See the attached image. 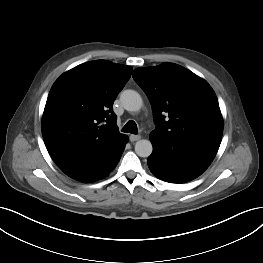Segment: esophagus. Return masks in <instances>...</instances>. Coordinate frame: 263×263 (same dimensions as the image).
<instances>
[{"mask_svg": "<svg viewBox=\"0 0 263 263\" xmlns=\"http://www.w3.org/2000/svg\"><path fill=\"white\" fill-rule=\"evenodd\" d=\"M141 139L140 135H130V141L135 142Z\"/></svg>", "mask_w": 263, "mask_h": 263, "instance_id": "34e87169", "label": "esophagus"}]
</instances>
